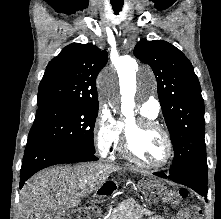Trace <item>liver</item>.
Instances as JSON below:
<instances>
[{
  "label": "liver",
  "instance_id": "1",
  "mask_svg": "<svg viewBox=\"0 0 221 219\" xmlns=\"http://www.w3.org/2000/svg\"><path fill=\"white\" fill-rule=\"evenodd\" d=\"M122 168L96 162L42 170L20 192L18 211L22 219H41L47 211H65L98 190L113 172Z\"/></svg>",
  "mask_w": 221,
  "mask_h": 219
}]
</instances>
